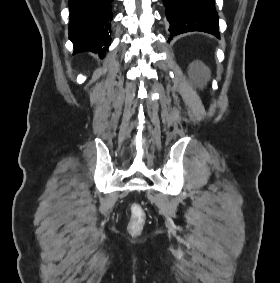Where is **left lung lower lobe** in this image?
Masks as SVG:
<instances>
[{"label": "left lung lower lobe", "instance_id": "0a47b994", "mask_svg": "<svg viewBox=\"0 0 280 283\" xmlns=\"http://www.w3.org/2000/svg\"><path fill=\"white\" fill-rule=\"evenodd\" d=\"M170 23V38L190 32H207L219 37L218 15L214 0H162Z\"/></svg>", "mask_w": 280, "mask_h": 283}]
</instances>
